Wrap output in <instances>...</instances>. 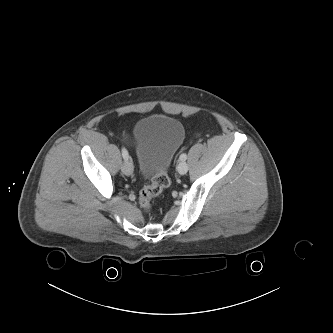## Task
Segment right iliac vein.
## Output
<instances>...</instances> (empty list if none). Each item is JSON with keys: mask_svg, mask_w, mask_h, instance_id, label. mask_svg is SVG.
I'll use <instances>...</instances> for the list:
<instances>
[{"mask_svg": "<svg viewBox=\"0 0 333 333\" xmlns=\"http://www.w3.org/2000/svg\"><path fill=\"white\" fill-rule=\"evenodd\" d=\"M121 170H122V172H123L125 175H127V176L131 175V174L133 173V164L131 163V161H130V160H126V161L122 164V166H121Z\"/></svg>", "mask_w": 333, "mask_h": 333, "instance_id": "1", "label": "right iliac vein"}]
</instances>
